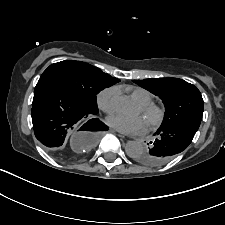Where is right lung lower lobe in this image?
<instances>
[{"label": "right lung lower lobe", "instance_id": "obj_1", "mask_svg": "<svg viewBox=\"0 0 225 225\" xmlns=\"http://www.w3.org/2000/svg\"><path fill=\"white\" fill-rule=\"evenodd\" d=\"M97 113L86 108L55 82L39 80L35 87L31 111L33 129L36 138L49 149L62 146L67 134L77 126L79 120ZM89 121L94 122L92 131L108 129L98 119Z\"/></svg>", "mask_w": 225, "mask_h": 225}]
</instances>
